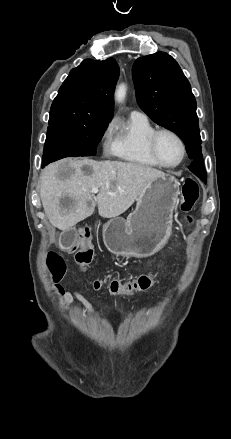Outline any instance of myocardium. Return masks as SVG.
Listing matches in <instances>:
<instances>
[{"instance_id":"obj_1","label":"myocardium","mask_w":231,"mask_h":439,"mask_svg":"<svg viewBox=\"0 0 231 439\" xmlns=\"http://www.w3.org/2000/svg\"><path fill=\"white\" fill-rule=\"evenodd\" d=\"M162 134H169V135L173 136L178 141V143H179V145L181 147V158H180V160L177 163H175L173 165H169V164H166L165 162H163L162 159L160 158L159 154H158V151H157V140H158L159 136L162 135ZM147 149H148V152H149L151 158L159 166H161L163 168H167V169H173V168H176V167L180 166L183 163V161H184V159L186 157V152H187L184 140L181 138V136L177 132H175L174 130L169 129V128L155 129L149 135V137L147 139Z\"/></svg>"}]
</instances>
